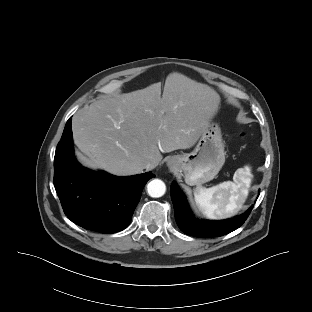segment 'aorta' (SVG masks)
<instances>
[{"label":"aorta","mask_w":312,"mask_h":312,"mask_svg":"<svg viewBox=\"0 0 312 312\" xmlns=\"http://www.w3.org/2000/svg\"><path fill=\"white\" fill-rule=\"evenodd\" d=\"M166 186L162 180L154 179L147 185V192L149 196L158 198L165 194Z\"/></svg>","instance_id":"762f6f07"}]
</instances>
